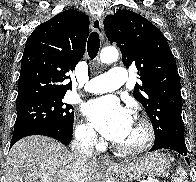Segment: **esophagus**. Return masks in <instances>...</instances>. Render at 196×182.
<instances>
[{
	"label": "esophagus",
	"mask_w": 196,
	"mask_h": 182,
	"mask_svg": "<svg viewBox=\"0 0 196 182\" xmlns=\"http://www.w3.org/2000/svg\"><path fill=\"white\" fill-rule=\"evenodd\" d=\"M91 29L94 32H97L100 39L104 38V31H103V23H102V18L99 16H94L91 21ZM100 164L105 165V166H110V167H117L118 165L114 162H112L110 159L106 157H101L100 158Z\"/></svg>",
	"instance_id": "esophagus-1"
}]
</instances>
